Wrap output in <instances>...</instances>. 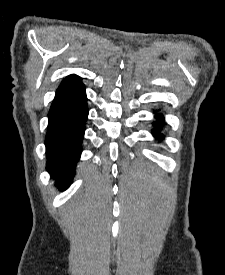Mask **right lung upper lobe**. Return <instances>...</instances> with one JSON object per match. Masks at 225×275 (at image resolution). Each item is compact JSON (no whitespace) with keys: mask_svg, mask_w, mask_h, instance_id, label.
Wrapping results in <instances>:
<instances>
[{"mask_svg":"<svg viewBox=\"0 0 225 275\" xmlns=\"http://www.w3.org/2000/svg\"><path fill=\"white\" fill-rule=\"evenodd\" d=\"M80 80H81L80 77L77 76V75H74V74L69 75L62 81L61 85L66 84V83L77 82V81H80Z\"/></svg>","mask_w":225,"mask_h":275,"instance_id":"obj_1","label":"right lung upper lobe"}]
</instances>
